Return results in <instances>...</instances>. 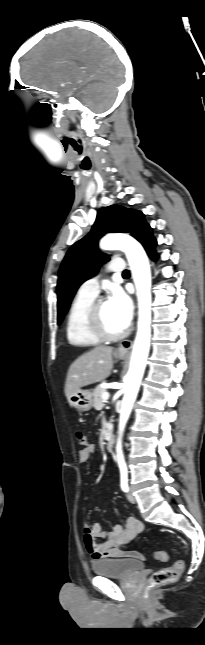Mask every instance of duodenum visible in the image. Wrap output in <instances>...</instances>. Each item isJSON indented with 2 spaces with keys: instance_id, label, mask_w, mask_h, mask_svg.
<instances>
[{
  "instance_id": "410a0bca",
  "label": "duodenum",
  "mask_w": 205,
  "mask_h": 645,
  "mask_svg": "<svg viewBox=\"0 0 205 645\" xmlns=\"http://www.w3.org/2000/svg\"><path fill=\"white\" fill-rule=\"evenodd\" d=\"M105 446H106V450L108 452L113 451V449H114V436L112 434H109L107 436L106 441H105Z\"/></svg>"
}]
</instances>
